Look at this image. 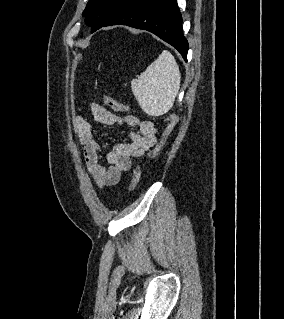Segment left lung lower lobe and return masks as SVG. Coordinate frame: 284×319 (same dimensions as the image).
Returning <instances> with one entry per match:
<instances>
[{
  "label": "left lung lower lobe",
  "mask_w": 284,
  "mask_h": 319,
  "mask_svg": "<svg viewBox=\"0 0 284 319\" xmlns=\"http://www.w3.org/2000/svg\"><path fill=\"white\" fill-rule=\"evenodd\" d=\"M118 24L152 32L176 48L187 61L188 42L176 0H124L103 27Z\"/></svg>",
  "instance_id": "left-lung-lower-lobe-1"
}]
</instances>
